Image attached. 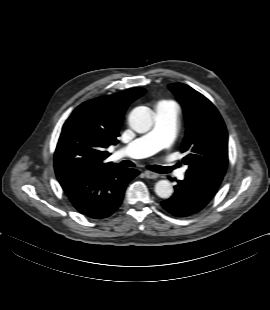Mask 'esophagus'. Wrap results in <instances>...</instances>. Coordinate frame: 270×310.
Segmentation results:
<instances>
[{"mask_svg": "<svg viewBox=\"0 0 270 310\" xmlns=\"http://www.w3.org/2000/svg\"><path fill=\"white\" fill-rule=\"evenodd\" d=\"M144 174H145V177L149 179H156L159 177V174L151 172V171H145Z\"/></svg>", "mask_w": 270, "mask_h": 310, "instance_id": "obj_1", "label": "esophagus"}]
</instances>
